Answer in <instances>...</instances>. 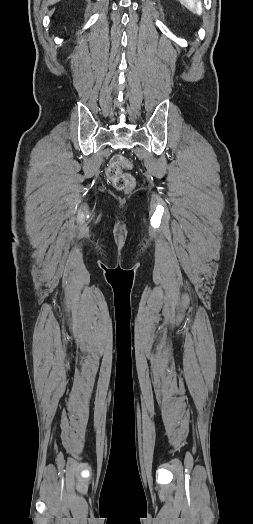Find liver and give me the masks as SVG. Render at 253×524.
Returning <instances> with one entry per match:
<instances>
[{
  "label": "liver",
  "instance_id": "1",
  "mask_svg": "<svg viewBox=\"0 0 253 524\" xmlns=\"http://www.w3.org/2000/svg\"><path fill=\"white\" fill-rule=\"evenodd\" d=\"M59 1L60 0H48V4L49 5H53V4H55V3L59 2Z\"/></svg>",
  "mask_w": 253,
  "mask_h": 524
}]
</instances>
